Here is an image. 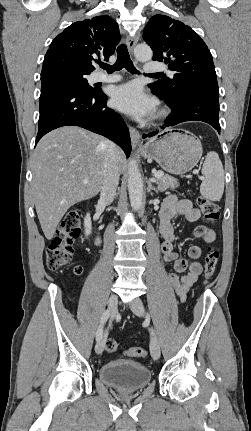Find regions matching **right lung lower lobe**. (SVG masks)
<instances>
[{"label": "right lung lower lobe", "instance_id": "1", "mask_svg": "<svg viewBox=\"0 0 251 431\" xmlns=\"http://www.w3.org/2000/svg\"><path fill=\"white\" fill-rule=\"evenodd\" d=\"M106 101L100 89L85 90L63 78L42 80L35 144L53 129L75 125L109 138L129 156V130L122 117L106 107Z\"/></svg>", "mask_w": 251, "mask_h": 431}]
</instances>
